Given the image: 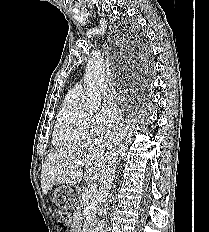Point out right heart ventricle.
Returning <instances> with one entry per match:
<instances>
[{"label":"right heart ventricle","mask_w":209,"mask_h":232,"mask_svg":"<svg viewBox=\"0 0 209 232\" xmlns=\"http://www.w3.org/2000/svg\"><path fill=\"white\" fill-rule=\"evenodd\" d=\"M81 94L74 88L65 96L52 136L56 147H68L89 140L97 131L92 116L80 107Z\"/></svg>","instance_id":"obj_1"}]
</instances>
